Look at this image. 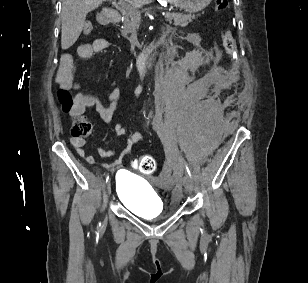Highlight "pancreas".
<instances>
[{"label":"pancreas","mask_w":308,"mask_h":283,"mask_svg":"<svg viewBox=\"0 0 308 283\" xmlns=\"http://www.w3.org/2000/svg\"><path fill=\"white\" fill-rule=\"evenodd\" d=\"M195 15L174 13L166 17V21L173 22L175 26H186L189 22L195 19ZM140 13L137 11H126L123 14V29L122 33L127 35L135 31L140 25Z\"/></svg>","instance_id":"cf45deb5"}]
</instances>
